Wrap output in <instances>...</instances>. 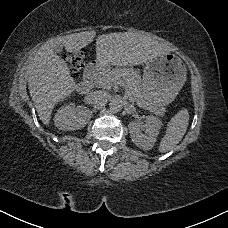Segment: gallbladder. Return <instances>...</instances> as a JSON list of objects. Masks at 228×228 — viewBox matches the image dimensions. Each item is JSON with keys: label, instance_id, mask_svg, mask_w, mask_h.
<instances>
[{"label": "gallbladder", "instance_id": "obj_1", "mask_svg": "<svg viewBox=\"0 0 228 228\" xmlns=\"http://www.w3.org/2000/svg\"><path fill=\"white\" fill-rule=\"evenodd\" d=\"M63 45L62 44H57L56 45V47H55V49H54V53L56 54V55H60V54H62V52H63Z\"/></svg>", "mask_w": 228, "mask_h": 228}]
</instances>
